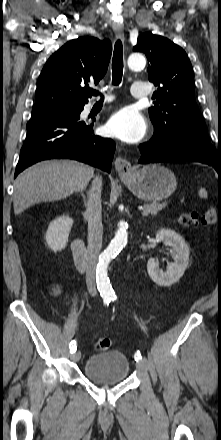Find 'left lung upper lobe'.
I'll use <instances>...</instances> for the list:
<instances>
[{
    "label": "left lung upper lobe",
    "instance_id": "1",
    "mask_svg": "<svg viewBox=\"0 0 221 440\" xmlns=\"http://www.w3.org/2000/svg\"><path fill=\"white\" fill-rule=\"evenodd\" d=\"M134 51L149 61V81L157 86L155 107L149 108L154 132L166 134L189 130L208 138L207 128L195 101L194 73L186 52L169 39L150 32L138 37Z\"/></svg>",
    "mask_w": 221,
    "mask_h": 440
}]
</instances>
